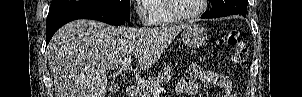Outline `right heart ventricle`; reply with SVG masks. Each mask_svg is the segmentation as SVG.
<instances>
[{
	"label": "right heart ventricle",
	"instance_id": "1",
	"mask_svg": "<svg viewBox=\"0 0 302 97\" xmlns=\"http://www.w3.org/2000/svg\"><path fill=\"white\" fill-rule=\"evenodd\" d=\"M150 10L155 16L154 24L159 27L170 26L176 22L167 10V0H154Z\"/></svg>",
	"mask_w": 302,
	"mask_h": 97
}]
</instances>
